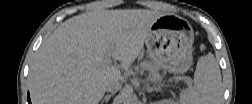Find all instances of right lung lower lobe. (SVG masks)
<instances>
[{"label": "right lung lower lobe", "mask_w": 252, "mask_h": 104, "mask_svg": "<svg viewBox=\"0 0 252 104\" xmlns=\"http://www.w3.org/2000/svg\"><path fill=\"white\" fill-rule=\"evenodd\" d=\"M28 103L31 104L29 93H28Z\"/></svg>", "instance_id": "right-lung-lower-lobe-1"}]
</instances>
